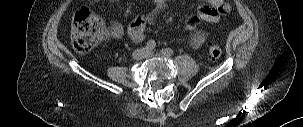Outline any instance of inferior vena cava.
<instances>
[{"label":"inferior vena cava","instance_id":"1","mask_svg":"<svg viewBox=\"0 0 303 127\" xmlns=\"http://www.w3.org/2000/svg\"><path fill=\"white\" fill-rule=\"evenodd\" d=\"M133 57H134V58H137V56H136V54H135V53H133Z\"/></svg>","mask_w":303,"mask_h":127}]
</instances>
